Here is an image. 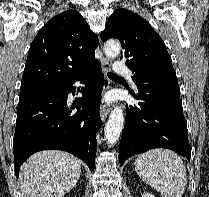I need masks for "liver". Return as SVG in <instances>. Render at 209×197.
<instances>
[{
	"label": "liver",
	"instance_id": "liver-1",
	"mask_svg": "<svg viewBox=\"0 0 209 197\" xmlns=\"http://www.w3.org/2000/svg\"><path fill=\"white\" fill-rule=\"evenodd\" d=\"M82 162L67 152L45 150L21 167L23 197H63L77 184Z\"/></svg>",
	"mask_w": 209,
	"mask_h": 197
}]
</instances>
